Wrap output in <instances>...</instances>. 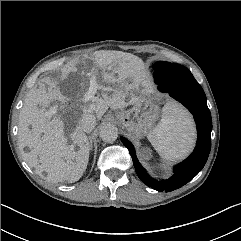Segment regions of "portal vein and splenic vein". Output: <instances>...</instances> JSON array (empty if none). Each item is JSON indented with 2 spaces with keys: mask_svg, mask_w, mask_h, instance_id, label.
Instances as JSON below:
<instances>
[{
  "mask_svg": "<svg viewBox=\"0 0 241 241\" xmlns=\"http://www.w3.org/2000/svg\"><path fill=\"white\" fill-rule=\"evenodd\" d=\"M92 95L90 94L89 96H88V98H90Z\"/></svg>",
  "mask_w": 241,
  "mask_h": 241,
  "instance_id": "obj_1",
  "label": "portal vein and splenic vein"
}]
</instances>
